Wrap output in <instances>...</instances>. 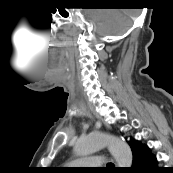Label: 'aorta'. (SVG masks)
<instances>
[{"label": "aorta", "mask_w": 173, "mask_h": 173, "mask_svg": "<svg viewBox=\"0 0 173 173\" xmlns=\"http://www.w3.org/2000/svg\"><path fill=\"white\" fill-rule=\"evenodd\" d=\"M104 147H108L118 167H131L133 157L129 145L114 135L96 133L83 137L77 141L74 151L79 156H85Z\"/></svg>", "instance_id": "aorta-1"}]
</instances>
